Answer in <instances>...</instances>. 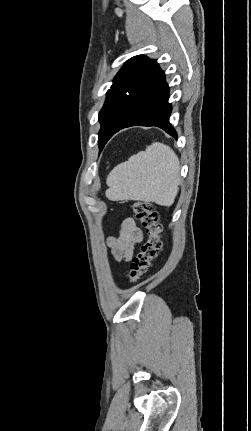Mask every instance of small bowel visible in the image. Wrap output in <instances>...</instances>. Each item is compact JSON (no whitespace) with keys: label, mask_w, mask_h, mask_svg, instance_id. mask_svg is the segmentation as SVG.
<instances>
[{"label":"small bowel","mask_w":251,"mask_h":431,"mask_svg":"<svg viewBox=\"0 0 251 431\" xmlns=\"http://www.w3.org/2000/svg\"><path fill=\"white\" fill-rule=\"evenodd\" d=\"M143 239V233L137 227L133 218H126L120 227L117 237L108 238L111 257L117 262H128L131 260L135 246Z\"/></svg>","instance_id":"small-bowel-1"}]
</instances>
